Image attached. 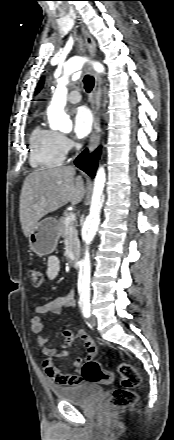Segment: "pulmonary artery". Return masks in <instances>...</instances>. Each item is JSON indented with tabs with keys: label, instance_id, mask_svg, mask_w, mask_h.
<instances>
[{
	"label": "pulmonary artery",
	"instance_id": "obj_1",
	"mask_svg": "<svg viewBox=\"0 0 174 440\" xmlns=\"http://www.w3.org/2000/svg\"><path fill=\"white\" fill-rule=\"evenodd\" d=\"M68 101L71 103H79L81 101V94L77 90H73L68 95Z\"/></svg>",
	"mask_w": 174,
	"mask_h": 440
}]
</instances>
